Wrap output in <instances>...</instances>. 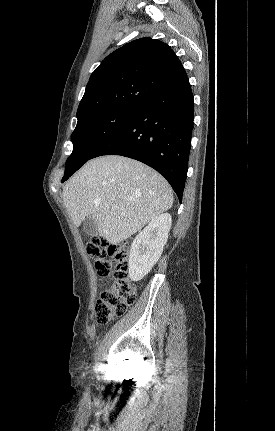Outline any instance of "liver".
<instances>
[{
  "mask_svg": "<svg viewBox=\"0 0 275 431\" xmlns=\"http://www.w3.org/2000/svg\"><path fill=\"white\" fill-rule=\"evenodd\" d=\"M63 200L76 227L91 216L100 236L116 245L170 209L174 198L152 168L109 155L87 162L63 188Z\"/></svg>",
  "mask_w": 275,
  "mask_h": 431,
  "instance_id": "1",
  "label": "liver"
}]
</instances>
